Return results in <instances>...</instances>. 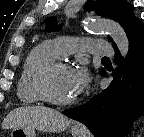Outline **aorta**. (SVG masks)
<instances>
[{
	"mask_svg": "<svg viewBox=\"0 0 144 137\" xmlns=\"http://www.w3.org/2000/svg\"><path fill=\"white\" fill-rule=\"evenodd\" d=\"M85 27L93 32H108L125 58L129 50V40L122 26L112 20H89Z\"/></svg>",
	"mask_w": 144,
	"mask_h": 137,
	"instance_id": "1",
	"label": "aorta"
}]
</instances>
